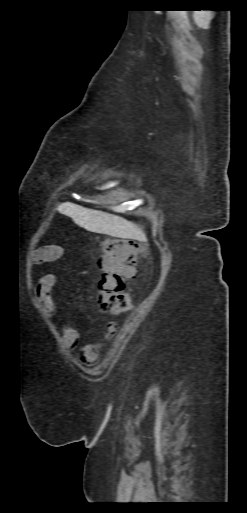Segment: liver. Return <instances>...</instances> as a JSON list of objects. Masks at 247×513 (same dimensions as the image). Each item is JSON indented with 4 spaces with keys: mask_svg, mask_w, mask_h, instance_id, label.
Instances as JSON below:
<instances>
[{
    "mask_svg": "<svg viewBox=\"0 0 247 513\" xmlns=\"http://www.w3.org/2000/svg\"><path fill=\"white\" fill-rule=\"evenodd\" d=\"M57 210L71 217L75 224L90 232L124 239L145 238V234L136 224L114 214L83 208L72 202L60 204Z\"/></svg>",
    "mask_w": 247,
    "mask_h": 513,
    "instance_id": "1",
    "label": "liver"
}]
</instances>
